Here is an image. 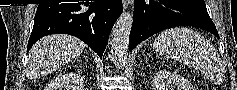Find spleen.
I'll return each mask as SVG.
<instances>
[{
    "label": "spleen",
    "mask_w": 237,
    "mask_h": 90,
    "mask_svg": "<svg viewBox=\"0 0 237 90\" xmlns=\"http://www.w3.org/2000/svg\"><path fill=\"white\" fill-rule=\"evenodd\" d=\"M156 52L165 54L175 62H183L199 72H216L217 52L199 32L190 28H170L158 34L153 44Z\"/></svg>",
    "instance_id": "3e777b00"
}]
</instances>
